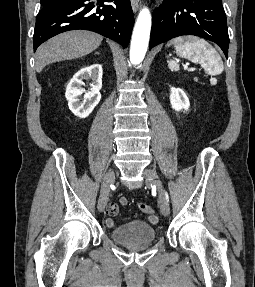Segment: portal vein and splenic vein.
Instances as JSON below:
<instances>
[{
    "mask_svg": "<svg viewBox=\"0 0 255 287\" xmlns=\"http://www.w3.org/2000/svg\"><path fill=\"white\" fill-rule=\"evenodd\" d=\"M188 66H189V64H185L184 70H188ZM188 72H190V70H188Z\"/></svg>",
    "mask_w": 255,
    "mask_h": 287,
    "instance_id": "1",
    "label": "portal vein and splenic vein"
}]
</instances>
